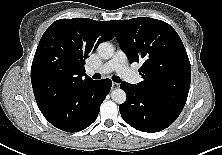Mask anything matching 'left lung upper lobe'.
<instances>
[{
	"mask_svg": "<svg viewBox=\"0 0 222 155\" xmlns=\"http://www.w3.org/2000/svg\"><path fill=\"white\" fill-rule=\"evenodd\" d=\"M111 24L129 62L142 63L139 74L143 80L134 85L146 94L184 106L190 87L191 66L173 27L148 17L112 20Z\"/></svg>",
	"mask_w": 222,
	"mask_h": 155,
	"instance_id": "obj_1",
	"label": "left lung upper lobe"
}]
</instances>
